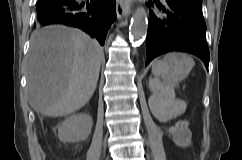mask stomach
I'll return each instance as SVG.
<instances>
[{"instance_id": "obj_1", "label": "stomach", "mask_w": 242, "mask_h": 160, "mask_svg": "<svg viewBox=\"0 0 242 160\" xmlns=\"http://www.w3.org/2000/svg\"><path fill=\"white\" fill-rule=\"evenodd\" d=\"M176 54L178 56L179 63L181 64V69L176 72V76L179 78V80H182L187 76V74L191 70L193 66V62H192V59L186 54H182V53H176Z\"/></svg>"}]
</instances>
